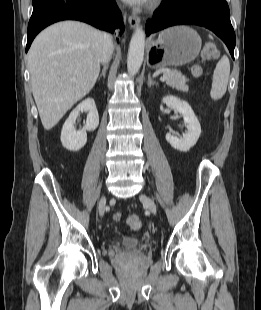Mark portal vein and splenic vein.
<instances>
[{"mask_svg":"<svg viewBox=\"0 0 261 310\" xmlns=\"http://www.w3.org/2000/svg\"><path fill=\"white\" fill-rule=\"evenodd\" d=\"M166 79H168V76H166V75H163V76L160 78L161 81H165Z\"/></svg>","mask_w":261,"mask_h":310,"instance_id":"obj_1","label":"portal vein and splenic vein"}]
</instances>
